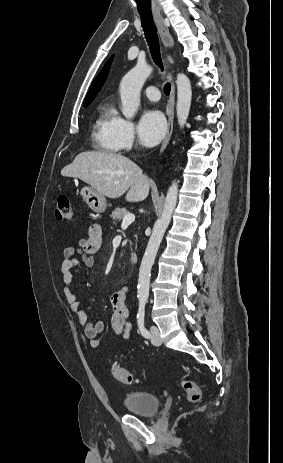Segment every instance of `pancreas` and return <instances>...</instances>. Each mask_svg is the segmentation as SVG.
Returning <instances> with one entry per match:
<instances>
[{
	"instance_id": "pancreas-1",
	"label": "pancreas",
	"mask_w": 283,
	"mask_h": 463,
	"mask_svg": "<svg viewBox=\"0 0 283 463\" xmlns=\"http://www.w3.org/2000/svg\"><path fill=\"white\" fill-rule=\"evenodd\" d=\"M129 214V211L125 208H117L115 209L112 214H111V217L114 219V220H122L124 219V217Z\"/></svg>"
}]
</instances>
